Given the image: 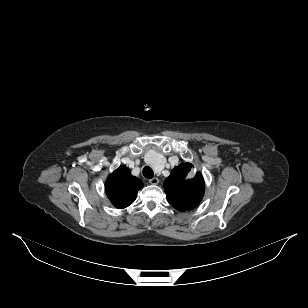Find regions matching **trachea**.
<instances>
[{
	"instance_id": "1",
	"label": "trachea",
	"mask_w": 308,
	"mask_h": 308,
	"mask_svg": "<svg viewBox=\"0 0 308 308\" xmlns=\"http://www.w3.org/2000/svg\"><path fill=\"white\" fill-rule=\"evenodd\" d=\"M143 175L145 178L151 179L154 176V172L149 166H146L143 168Z\"/></svg>"
}]
</instances>
